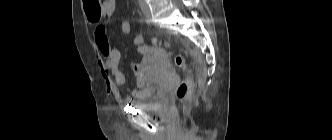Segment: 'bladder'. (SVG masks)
<instances>
[{"instance_id":"obj_1","label":"bladder","mask_w":332,"mask_h":140,"mask_svg":"<svg viewBox=\"0 0 332 140\" xmlns=\"http://www.w3.org/2000/svg\"><path fill=\"white\" fill-rule=\"evenodd\" d=\"M164 94L155 87H150V92L145 97L131 101V104L141 110H160L163 106Z\"/></svg>"}]
</instances>
